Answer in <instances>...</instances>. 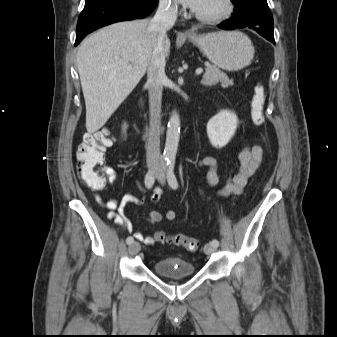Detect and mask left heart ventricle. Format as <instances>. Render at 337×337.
I'll return each instance as SVG.
<instances>
[{
  "instance_id": "b2bd125f",
  "label": "left heart ventricle",
  "mask_w": 337,
  "mask_h": 337,
  "mask_svg": "<svg viewBox=\"0 0 337 337\" xmlns=\"http://www.w3.org/2000/svg\"><path fill=\"white\" fill-rule=\"evenodd\" d=\"M222 6V0H203L201 6L195 11L205 14H214L219 12Z\"/></svg>"
}]
</instances>
